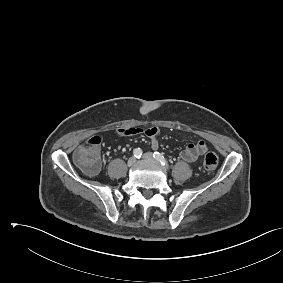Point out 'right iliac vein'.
Returning <instances> with one entry per match:
<instances>
[{
    "mask_svg": "<svg viewBox=\"0 0 283 283\" xmlns=\"http://www.w3.org/2000/svg\"><path fill=\"white\" fill-rule=\"evenodd\" d=\"M135 163H136V158H135V157L129 158V160H128V162H127L128 166H132V165H134Z\"/></svg>",
    "mask_w": 283,
    "mask_h": 283,
    "instance_id": "63e3f726",
    "label": "right iliac vein"
}]
</instances>
